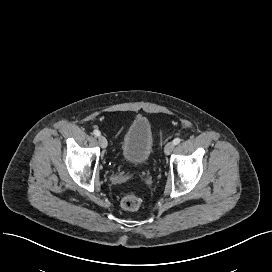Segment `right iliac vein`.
<instances>
[{"instance_id": "obj_1", "label": "right iliac vein", "mask_w": 272, "mask_h": 272, "mask_svg": "<svg viewBox=\"0 0 272 272\" xmlns=\"http://www.w3.org/2000/svg\"><path fill=\"white\" fill-rule=\"evenodd\" d=\"M98 141L102 148H106L108 145L107 139L104 136H99Z\"/></svg>"}]
</instances>
